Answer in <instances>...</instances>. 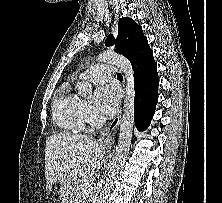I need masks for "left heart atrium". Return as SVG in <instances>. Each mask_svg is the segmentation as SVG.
Masks as SVG:
<instances>
[{
	"label": "left heart atrium",
	"instance_id": "obj_1",
	"mask_svg": "<svg viewBox=\"0 0 222 203\" xmlns=\"http://www.w3.org/2000/svg\"><path fill=\"white\" fill-rule=\"evenodd\" d=\"M120 94L114 86L99 88L95 94V109L103 116L115 114L119 107Z\"/></svg>",
	"mask_w": 222,
	"mask_h": 203
}]
</instances>
